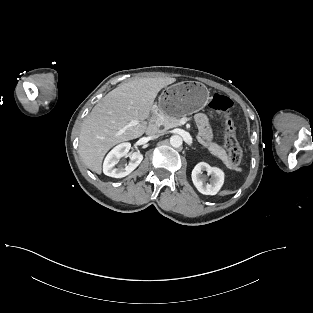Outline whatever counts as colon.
Masks as SVG:
<instances>
[{"mask_svg": "<svg viewBox=\"0 0 313 313\" xmlns=\"http://www.w3.org/2000/svg\"><path fill=\"white\" fill-rule=\"evenodd\" d=\"M209 106L211 109L226 116L225 146L229 154L230 162L234 166H237L242 160L243 152L236 136V128L232 118L233 101L225 95L216 93L212 96Z\"/></svg>", "mask_w": 313, "mask_h": 313, "instance_id": "5ec220e1", "label": "colon"}]
</instances>
